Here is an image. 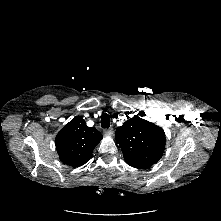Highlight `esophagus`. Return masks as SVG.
<instances>
[{
    "instance_id": "obj_1",
    "label": "esophagus",
    "mask_w": 221,
    "mask_h": 221,
    "mask_svg": "<svg viewBox=\"0 0 221 221\" xmlns=\"http://www.w3.org/2000/svg\"><path fill=\"white\" fill-rule=\"evenodd\" d=\"M104 133L107 136H112L113 135V129L112 128L106 129V130H104Z\"/></svg>"
}]
</instances>
